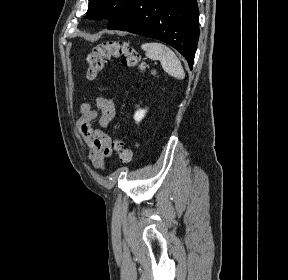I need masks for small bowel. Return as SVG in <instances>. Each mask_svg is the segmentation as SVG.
I'll use <instances>...</instances> for the list:
<instances>
[{
    "label": "small bowel",
    "instance_id": "c3829d8e",
    "mask_svg": "<svg viewBox=\"0 0 288 280\" xmlns=\"http://www.w3.org/2000/svg\"><path fill=\"white\" fill-rule=\"evenodd\" d=\"M96 107L97 110L87 103L81 106L77 128L88 148V159L95 168L104 169V162L112 153V140L101 128L113 120L116 108L114 101L105 97L96 99ZM96 121L101 128L94 125Z\"/></svg>",
    "mask_w": 288,
    "mask_h": 280
}]
</instances>
